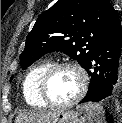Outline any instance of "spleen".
I'll return each instance as SVG.
<instances>
[{"mask_svg": "<svg viewBox=\"0 0 122 123\" xmlns=\"http://www.w3.org/2000/svg\"><path fill=\"white\" fill-rule=\"evenodd\" d=\"M81 111H85L87 114L89 123H106L104 117V109L98 103H85L78 107Z\"/></svg>", "mask_w": 122, "mask_h": 123, "instance_id": "1", "label": "spleen"}]
</instances>
